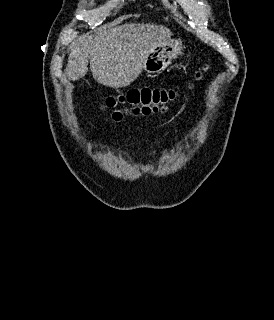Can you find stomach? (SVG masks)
Masks as SVG:
<instances>
[{
	"label": "stomach",
	"mask_w": 274,
	"mask_h": 320,
	"mask_svg": "<svg viewBox=\"0 0 274 320\" xmlns=\"http://www.w3.org/2000/svg\"><path fill=\"white\" fill-rule=\"evenodd\" d=\"M182 44L180 40H168L162 46H157L147 56V60L143 66L146 74H161L172 60H175L179 54H182Z\"/></svg>",
	"instance_id": "0dacf381"
}]
</instances>
